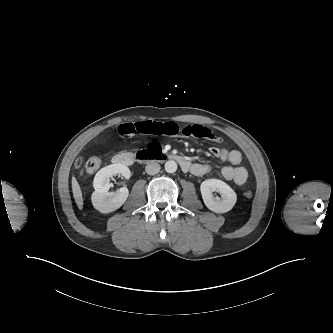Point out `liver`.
Masks as SVG:
<instances>
[{"instance_id": "1", "label": "liver", "mask_w": 333, "mask_h": 333, "mask_svg": "<svg viewBox=\"0 0 333 333\" xmlns=\"http://www.w3.org/2000/svg\"><path fill=\"white\" fill-rule=\"evenodd\" d=\"M72 191L75 202L78 208L81 210L83 208V197L81 187L75 177L72 178Z\"/></svg>"}]
</instances>
